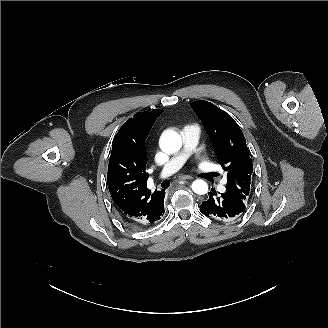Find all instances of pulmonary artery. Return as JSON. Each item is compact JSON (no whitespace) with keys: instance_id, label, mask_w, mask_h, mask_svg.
Returning <instances> with one entry per match:
<instances>
[{"instance_id":"1","label":"pulmonary artery","mask_w":328,"mask_h":328,"mask_svg":"<svg viewBox=\"0 0 328 328\" xmlns=\"http://www.w3.org/2000/svg\"><path fill=\"white\" fill-rule=\"evenodd\" d=\"M181 135L183 137V149L164 165L160 174L161 178L167 177L176 170L183 168L188 158L194 154V147L200 142L199 132L191 126H184L181 130Z\"/></svg>"}]
</instances>
